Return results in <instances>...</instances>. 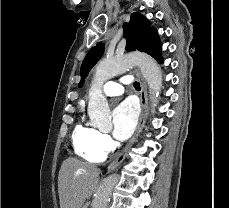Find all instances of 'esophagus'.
I'll return each mask as SVG.
<instances>
[{"label":"esophagus","mask_w":229,"mask_h":208,"mask_svg":"<svg viewBox=\"0 0 229 208\" xmlns=\"http://www.w3.org/2000/svg\"><path fill=\"white\" fill-rule=\"evenodd\" d=\"M136 77L141 83V91H140V105H141V114L139 118V123L138 127L136 130V134L134 137L131 138V140L126 144L125 148L121 151V153L113 160L109 167L108 170H115L125 159V157L128 154V151L130 148L133 146V144L136 142L138 136L142 132L143 128L145 127L146 120L148 117L149 113V108H148V94H147V85L144 79L141 76V73L138 69L135 70Z\"/></svg>","instance_id":"1"}]
</instances>
